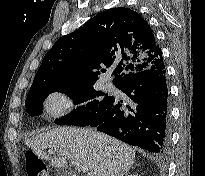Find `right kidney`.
Instances as JSON below:
<instances>
[{
	"instance_id": "right-kidney-1",
	"label": "right kidney",
	"mask_w": 205,
	"mask_h": 176,
	"mask_svg": "<svg viewBox=\"0 0 205 176\" xmlns=\"http://www.w3.org/2000/svg\"><path fill=\"white\" fill-rule=\"evenodd\" d=\"M127 176H139V175H136V174H133V175H132V174H130V175H127Z\"/></svg>"
}]
</instances>
